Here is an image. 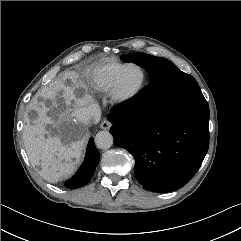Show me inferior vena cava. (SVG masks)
Here are the masks:
<instances>
[{"mask_svg":"<svg viewBox=\"0 0 241 241\" xmlns=\"http://www.w3.org/2000/svg\"><path fill=\"white\" fill-rule=\"evenodd\" d=\"M83 120L85 123H89L92 120H98L101 116L100 106L96 103H91L82 110Z\"/></svg>","mask_w":241,"mask_h":241,"instance_id":"obj_1","label":"inferior vena cava"}]
</instances>
